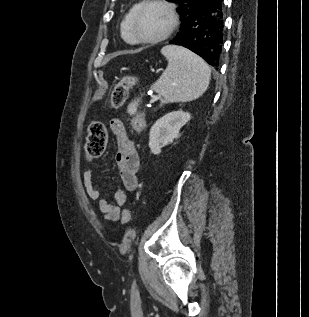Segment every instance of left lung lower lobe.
<instances>
[{"label":"left lung lower lobe","instance_id":"1","mask_svg":"<svg viewBox=\"0 0 309 317\" xmlns=\"http://www.w3.org/2000/svg\"><path fill=\"white\" fill-rule=\"evenodd\" d=\"M223 0H206L185 20L169 43L184 46L218 68L224 44Z\"/></svg>","mask_w":309,"mask_h":317}]
</instances>
